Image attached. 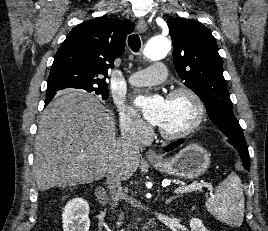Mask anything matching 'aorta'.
I'll return each mask as SVG.
<instances>
[{"label": "aorta", "mask_w": 268, "mask_h": 231, "mask_svg": "<svg viewBox=\"0 0 268 231\" xmlns=\"http://www.w3.org/2000/svg\"><path fill=\"white\" fill-rule=\"evenodd\" d=\"M171 48V42L163 36L152 38L143 50V54L150 60L157 61L163 59Z\"/></svg>", "instance_id": "1"}]
</instances>
